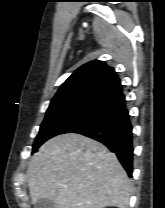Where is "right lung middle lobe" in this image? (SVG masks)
Listing matches in <instances>:
<instances>
[{
  "label": "right lung middle lobe",
  "mask_w": 165,
  "mask_h": 208,
  "mask_svg": "<svg viewBox=\"0 0 165 208\" xmlns=\"http://www.w3.org/2000/svg\"><path fill=\"white\" fill-rule=\"evenodd\" d=\"M94 106L90 105H58L49 106L46 117L33 145V152L48 139L61 134L68 127L87 115Z\"/></svg>",
  "instance_id": "1"
}]
</instances>
